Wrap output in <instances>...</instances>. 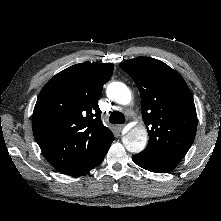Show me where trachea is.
Segmentation results:
<instances>
[{"label": "trachea", "instance_id": "3493384b", "mask_svg": "<svg viewBox=\"0 0 221 221\" xmlns=\"http://www.w3.org/2000/svg\"><path fill=\"white\" fill-rule=\"evenodd\" d=\"M109 121L112 124H124L125 117H124L123 113L118 112V111H114L111 113V115L109 117Z\"/></svg>", "mask_w": 221, "mask_h": 221}]
</instances>
